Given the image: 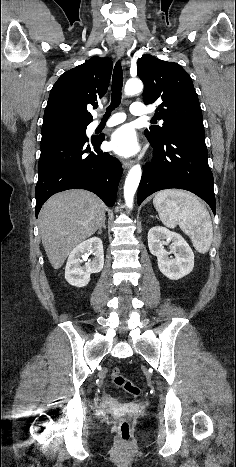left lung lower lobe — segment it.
I'll return each mask as SVG.
<instances>
[{
	"mask_svg": "<svg viewBox=\"0 0 236 467\" xmlns=\"http://www.w3.org/2000/svg\"><path fill=\"white\" fill-rule=\"evenodd\" d=\"M149 141L154 148V157L144 167L138 188V205L156 191L178 188L198 195L215 214L213 174L208 165L204 129L177 130L162 142Z\"/></svg>",
	"mask_w": 236,
	"mask_h": 467,
	"instance_id": "left-lung-lower-lobe-1",
	"label": "left lung lower lobe"
}]
</instances>
